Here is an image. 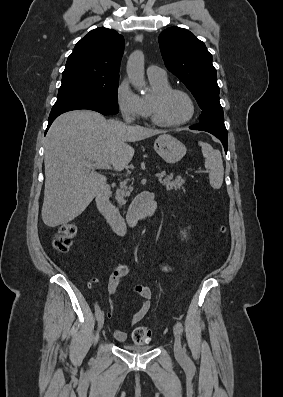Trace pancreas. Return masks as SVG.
Wrapping results in <instances>:
<instances>
[{
    "instance_id": "obj_1",
    "label": "pancreas",
    "mask_w": 283,
    "mask_h": 397,
    "mask_svg": "<svg viewBox=\"0 0 283 397\" xmlns=\"http://www.w3.org/2000/svg\"><path fill=\"white\" fill-rule=\"evenodd\" d=\"M160 183L163 186H165L166 190H168V191H170V190H183L184 191L185 190V188H184L185 180L180 177L173 178V176H168V177H165L164 179H161ZM131 191H132V188L127 187V180L120 183V188L117 189L116 195H115V198H116L117 202L119 203V205L125 204L124 198L129 196Z\"/></svg>"
}]
</instances>
